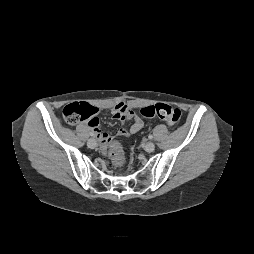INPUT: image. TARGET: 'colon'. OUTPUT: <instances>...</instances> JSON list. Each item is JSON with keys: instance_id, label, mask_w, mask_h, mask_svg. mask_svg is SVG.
<instances>
[{"instance_id": "obj_1", "label": "colon", "mask_w": 254, "mask_h": 254, "mask_svg": "<svg viewBox=\"0 0 254 254\" xmlns=\"http://www.w3.org/2000/svg\"><path fill=\"white\" fill-rule=\"evenodd\" d=\"M141 114L146 118H158L171 127L176 126L181 120V111L166 103L145 106L141 109ZM62 115L68 124L83 121L90 123L97 117V109L85 103H71L63 108ZM111 156L117 166L124 164V157L118 145H112Z\"/></svg>"}]
</instances>
